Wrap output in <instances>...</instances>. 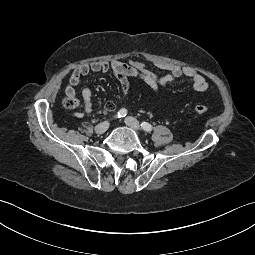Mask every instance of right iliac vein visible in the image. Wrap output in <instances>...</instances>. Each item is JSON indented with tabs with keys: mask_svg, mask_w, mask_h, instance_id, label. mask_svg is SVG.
Listing matches in <instances>:
<instances>
[{
	"mask_svg": "<svg viewBox=\"0 0 255 255\" xmlns=\"http://www.w3.org/2000/svg\"><path fill=\"white\" fill-rule=\"evenodd\" d=\"M109 128V122L105 121V122H102L100 124H98L96 127H95V132L99 135L101 134H104L107 129Z\"/></svg>",
	"mask_w": 255,
	"mask_h": 255,
	"instance_id": "obj_1",
	"label": "right iliac vein"
}]
</instances>
